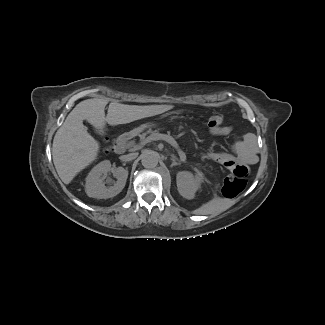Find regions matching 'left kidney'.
Listing matches in <instances>:
<instances>
[{
	"instance_id": "5707ae66",
	"label": "left kidney",
	"mask_w": 325,
	"mask_h": 325,
	"mask_svg": "<svg viewBox=\"0 0 325 325\" xmlns=\"http://www.w3.org/2000/svg\"><path fill=\"white\" fill-rule=\"evenodd\" d=\"M176 180L180 195L186 199H193L195 192L204 181V174L200 171H197L195 175L189 171H180L177 173Z\"/></svg>"
}]
</instances>
